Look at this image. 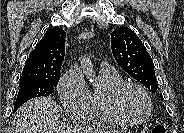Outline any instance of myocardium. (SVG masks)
<instances>
[{"label":"myocardium","mask_w":184,"mask_h":133,"mask_svg":"<svg viewBox=\"0 0 184 133\" xmlns=\"http://www.w3.org/2000/svg\"><path fill=\"white\" fill-rule=\"evenodd\" d=\"M129 88L138 90L146 100L147 111L145 115L140 119H130L126 117L120 110V97L122 93ZM105 102L110 114L115 120L118 121L119 124L137 126L146 122L152 113V100L149 93L143 86L135 82L123 81L112 87L106 93Z\"/></svg>","instance_id":"f54148a6"}]
</instances>
